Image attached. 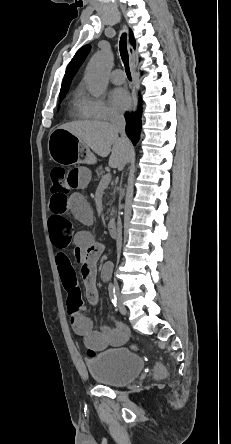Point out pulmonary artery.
Listing matches in <instances>:
<instances>
[{
    "instance_id": "e3ab8cb5",
    "label": "pulmonary artery",
    "mask_w": 231,
    "mask_h": 444,
    "mask_svg": "<svg viewBox=\"0 0 231 444\" xmlns=\"http://www.w3.org/2000/svg\"><path fill=\"white\" fill-rule=\"evenodd\" d=\"M110 79L116 85L123 84L126 80V75L123 70L116 69L111 73Z\"/></svg>"
}]
</instances>
